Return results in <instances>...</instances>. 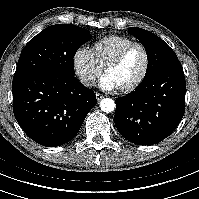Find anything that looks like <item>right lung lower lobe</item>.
<instances>
[{
	"instance_id": "obj_1",
	"label": "right lung lower lobe",
	"mask_w": 199,
	"mask_h": 199,
	"mask_svg": "<svg viewBox=\"0 0 199 199\" xmlns=\"http://www.w3.org/2000/svg\"><path fill=\"white\" fill-rule=\"evenodd\" d=\"M13 112L26 135L46 147L72 140L97 104L94 92L57 72L13 78Z\"/></svg>"
}]
</instances>
